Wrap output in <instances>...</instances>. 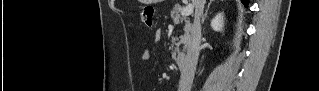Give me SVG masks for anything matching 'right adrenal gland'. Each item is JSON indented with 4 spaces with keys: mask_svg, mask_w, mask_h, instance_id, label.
I'll return each instance as SVG.
<instances>
[{
    "mask_svg": "<svg viewBox=\"0 0 319 91\" xmlns=\"http://www.w3.org/2000/svg\"><path fill=\"white\" fill-rule=\"evenodd\" d=\"M212 2H214V0H210L209 3H208V6H207V8H206V10H205V13H204V15H203V17H202V23H204L205 18L207 17V13H208L209 7H210V5H211Z\"/></svg>",
    "mask_w": 319,
    "mask_h": 91,
    "instance_id": "right-adrenal-gland-1",
    "label": "right adrenal gland"
}]
</instances>
